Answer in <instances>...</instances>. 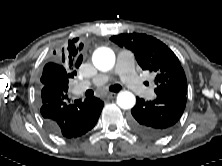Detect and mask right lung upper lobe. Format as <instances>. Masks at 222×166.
Listing matches in <instances>:
<instances>
[{"label":"right lung upper lobe","mask_w":222,"mask_h":166,"mask_svg":"<svg viewBox=\"0 0 222 166\" xmlns=\"http://www.w3.org/2000/svg\"><path fill=\"white\" fill-rule=\"evenodd\" d=\"M78 38L69 40L53 52V61L44 66L41 83L53 86L63 92L68 91V80L76 75V69L82 62L80 53L83 44Z\"/></svg>","instance_id":"obj_1"}]
</instances>
